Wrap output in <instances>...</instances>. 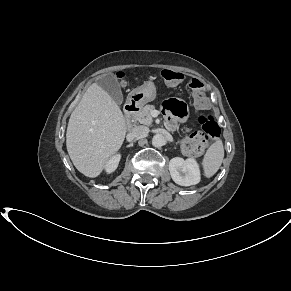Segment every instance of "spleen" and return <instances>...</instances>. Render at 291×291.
I'll use <instances>...</instances> for the list:
<instances>
[{
  "instance_id": "spleen-1",
  "label": "spleen",
  "mask_w": 291,
  "mask_h": 291,
  "mask_svg": "<svg viewBox=\"0 0 291 291\" xmlns=\"http://www.w3.org/2000/svg\"><path fill=\"white\" fill-rule=\"evenodd\" d=\"M224 158V147L221 139H217L206 151L202 165L204 175L212 177L220 168Z\"/></svg>"
}]
</instances>
